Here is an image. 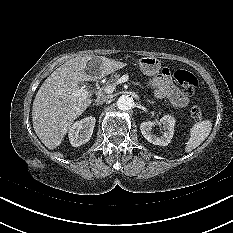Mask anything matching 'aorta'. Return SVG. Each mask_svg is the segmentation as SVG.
I'll return each instance as SVG.
<instances>
[{"instance_id": "aorta-1", "label": "aorta", "mask_w": 233, "mask_h": 233, "mask_svg": "<svg viewBox=\"0 0 233 233\" xmlns=\"http://www.w3.org/2000/svg\"><path fill=\"white\" fill-rule=\"evenodd\" d=\"M134 105L133 98L128 95H122L117 100V107L119 110L126 111Z\"/></svg>"}]
</instances>
